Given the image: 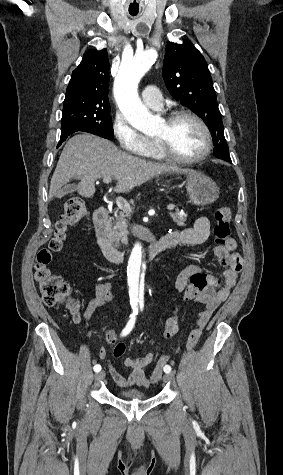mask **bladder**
<instances>
[{
	"mask_svg": "<svg viewBox=\"0 0 283 475\" xmlns=\"http://www.w3.org/2000/svg\"><path fill=\"white\" fill-rule=\"evenodd\" d=\"M118 398L127 401H146L150 398V395L140 391L138 388H131L121 390L118 393Z\"/></svg>",
	"mask_w": 283,
	"mask_h": 475,
	"instance_id": "1",
	"label": "bladder"
}]
</instances>
